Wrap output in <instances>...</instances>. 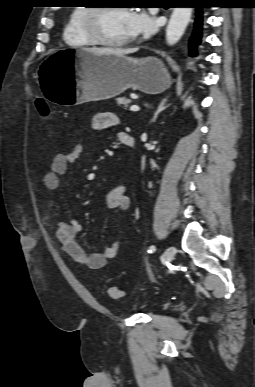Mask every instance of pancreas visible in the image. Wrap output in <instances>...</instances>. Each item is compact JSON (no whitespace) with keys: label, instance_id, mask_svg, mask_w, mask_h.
I'll return each instance as SVG.
<instances>
[{"label":"pancreas","instance_id":"cf45deb5","mask_svg":"<svg viewBox=\"0 0 255 387\" xmlns=\"http://www.w3.org/2000/svg\"><path fill=\"white\" fill-rule=\"evenodd\" d=\"M117 104L121 107L127 108L131 103V100L126 97H118L116 98Z\"/></svg>","mask_w":255,"mask_h":387}]
</instances>
